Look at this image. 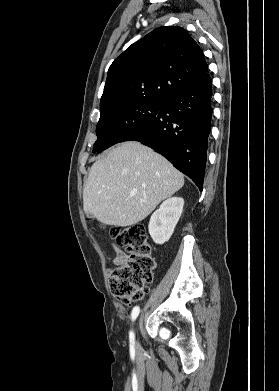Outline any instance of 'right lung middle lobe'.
Returning <instances> with one entry per match:
<instances>
[{
    "instance_id": "1",
    "label": "right lung middle lobe",
    "mask_w": 279,
    "mask_h": 391,
    "mask_svg": "<svg viewBox=\"0 0 279 391\" xmlns=\"http://www.w3.org/2000/svg\"><path fill=\"white\" fill-rule=\"evenodd\" d=\"M164 102L137 101L101 113L96 128L97 141L93 152H101L119 143L137 127L153 120Z\"/></svg>"
}]
</instances>
